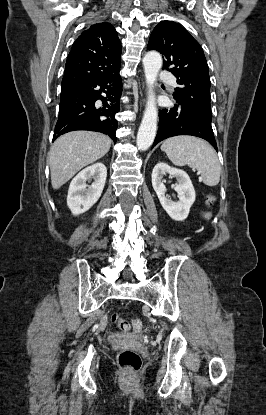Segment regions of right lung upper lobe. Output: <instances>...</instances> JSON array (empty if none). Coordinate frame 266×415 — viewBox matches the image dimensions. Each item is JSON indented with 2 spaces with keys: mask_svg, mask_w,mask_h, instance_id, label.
Instances as JSON below:
<instances>
[{
  "mask_svg": "<svg viewBox=\"0 0 266 415\" xmlns=\"http://www.w3.org/2000/svg\"><path fill=\"white\" fill-rule=\"evenodd\" d=\"M121 42L110 23L90 26L74 42L68 55L62 88L101 78L120 70Z\"/></svg>",
  "mask_w": 266,
  "mask_h": 415,
  "instance_id": "obj_1",
  "label": "right lung upper lobe"
}]
</instances>
